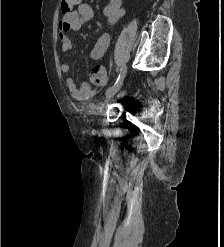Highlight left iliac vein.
Wrapping results in <instances>:
<instances>
[{"instance_id": "4c4485c4", "label": "left iliac vein", "mask_w": 224, "mask_h": 247, "mask_svg": "<svg viewBox=\"0 0 224 247\" xmlns=\"http://www.w3.org/2000/svg\"><path fill=\"white\" fill-rule=\"evenodd\" d=\"M122 85H123V79L119 80L117 83H115L106 91V97L108 99L113 97L120 90Z\"/></svg>"}]
</instances>
